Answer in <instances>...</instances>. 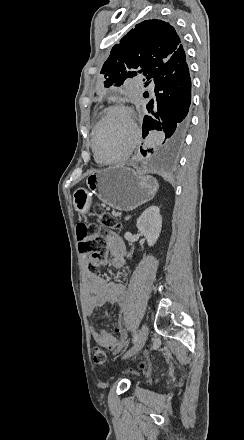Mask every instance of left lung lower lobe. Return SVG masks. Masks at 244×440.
Instances as JSON below:
<instances>
[{
  "label": "left lung lower lobe",
  "mask_w": 244,
  "mask_h": 440,
  "mask_svg": "<svg viewBox=\"0 0 244 440\" xmlns=\"http://www.w3.org/2000/svg\"><path fill=\"white\" fill-rule=\"evenodd\" d=\"M153 80L155 94L146 106L143 137L151 130H163L165 139L157 152L171 154L183 145L191 124V117L188 115L191 80L186 57L172 66H163ZM144 97H148V94ZM148 151L152 152V149Z\"/></svg>",
  "instance_id": "left-lung-lower-lobe-1"
}]
</instances>
